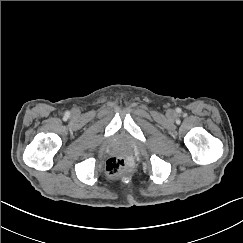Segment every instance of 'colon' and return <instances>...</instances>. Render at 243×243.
<instances>
[{
    "label": "colon",
    "instance_id": "1",
    "mask_svg": "<svg viewBox=\"0 0 243 243\" xmlns=\"http://www.w3.org/2000/svg\"><path fill=\"white\" fill-rule=\"evenodd\" d=\"M130 168V160L122 156H115L110 158L106 165V171L110 177H117L127 172Z\"/></svg>",
    "mask_w": 243,
    "mask_h": 243
}]
</instances>
